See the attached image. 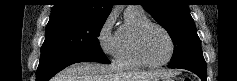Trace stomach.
Listing matches in <instances>:
<instances>
[{
    "label": "stomach",
    "instance_id": "0dacf381",
    "mask_svg": "<svg viewBox=\"0 0 237 81\" xmlns=\"http://www.w3.org/2000/svg\"><path fill=\"white\" fill-rule=\"evenodd\" d=\"M151 81H172L171 77L168 75H161L159 77L154 78Z\"/></svg>",
    "mask_w": 237,
    "mask_h": 81
}]
</instances>
